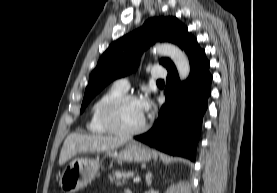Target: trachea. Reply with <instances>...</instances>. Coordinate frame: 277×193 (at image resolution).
Masks as SVG:
<instances>
[{
  "instance_id": "trachea-1",
  "label": "trachea",
  "mask_w": 277,
  "mask_h": 193,
  "mask_svg": "<svg viewBox=\"0 0 277 193\" xmlns=\"http://www.w3.org/2000/svg\"><path fill=\"white\" fill-rule=\"evenodd\" d=\"M157 82H158V83H164V81H163V80H158Z\"/></svg>"
}]
</instances>
